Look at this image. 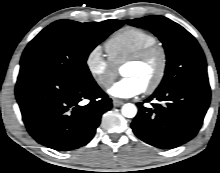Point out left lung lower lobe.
Instances as JSON below:
<instances>
[{
	"label": "left lung lower lobe",
	"mask_w": 220,
	"mask_h": 173,
	"mask_svg": "<svg viewBox=\"0 0 220 173\" xmlns=\"http://www.w3.org/2000/svg\"><path fill=\"white\" fill-rule=\"evenodd\" d=\"M210 96L209 83H184L156 90L145 102L156 99L166 104H152V108H146L143 103H137L139 111L131 127L135 135L147 144L162 149L176 148L198 133Z\"/></svg>",
	"instance_id": "obj_1"
}]
</instances>
